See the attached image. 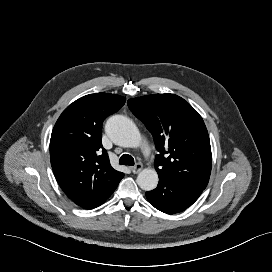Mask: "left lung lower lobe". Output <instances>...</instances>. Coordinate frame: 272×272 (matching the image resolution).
Segmentation results:
<instances>
[{"label": "left lung lower lobe", "instance_id": "obj_1", "mask_svg": "<svg viewBox=\"0 0 272 272\" xmlns=\"http://www.w3.org/2000/svg\"><path fill=\"white\" fill-rule=\"evenodd\" d=\"M203 190V188L186 181L159 178L157 188L146 192V197L156 209L167 214H174L191 206Z\"/></svg>", "mask_w": 272, "mask_h": 272}]
</instances>
